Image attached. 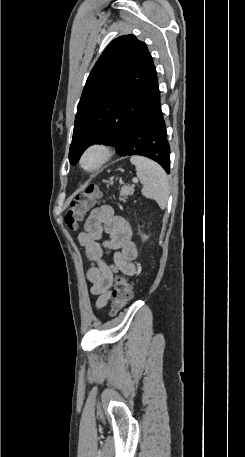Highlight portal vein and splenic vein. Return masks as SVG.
Instances as JSON below:
<instances>
[{"label":"portal vein and splenic vein","instance_id":"portal-vein-and-splenic-vein-1","mask_svg":"<svg viewBox=\"0 0 245 457\" xmlns=\"http://www.w3.org/2000/svg\"><path fill=\"white\" fill-rule=\"evenodd\" d=\"M133 182H138V178H132Z\"/></svg>","mask_w":245,"mask_h":457}]
</instances>
